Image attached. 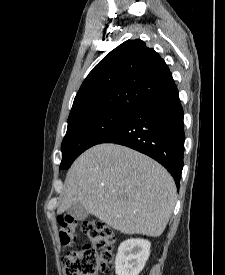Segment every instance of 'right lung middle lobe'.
I'll use <instances>...</instances> for the list:
<instances>
[{"mask_svg": "<svg viewBox=\"0 0 225 275\" xmlns=\"http://www.w3.org/2000/svg\"><path fill=\"white\" fill-rule=\"evenodd\" d=\"M131 111H109L92 114L68 123L67 133L62 141L60 169H67L85 150L98 144Z\"/></svg>", "mask_w": 225, "mask_h": 275, "instance_id": "dd1d6c3e", "label": "right lung middle lobe"}]
</instances>
